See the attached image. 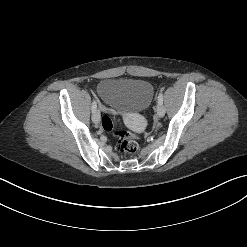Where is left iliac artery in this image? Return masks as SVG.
<instances>
[{
	"label": "left iliac artery",
	"instance_id": "left-iliac-artery-1",
	"mask_svg": "<svg viewBox=\"0 0 247 247\" xmlns=\"http://www.w3.org/2000/svg\"><path fill=\"white\" fill-rule=\"evenodd\" d=\"M157 100H158V104H163V92H162V90L160 91Z\"/></svg>",
	"mask_w": 247,
	"mask_h": 247
}]
</instances>
